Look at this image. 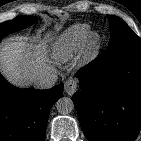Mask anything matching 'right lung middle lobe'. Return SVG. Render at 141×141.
Wrapping results in <instances>:
<instances>
[{"label": "right lung middle lobe", "instance_id": "obj_1", "mask_svg": "<svg viewBox=\"0 0 141 141\" xmlns=\"http://www.w3.org/2000/svg\"><path fill=\"white\" fill-rule=\"evenodd\" d=\"M36 21H37L36 17L19 16L14 18L13 20H9V21L1 23L0 24V41L6 34L29 27Z\"/></svg>", "mask_w": 141, "mask_h": 141}]
</instances>
